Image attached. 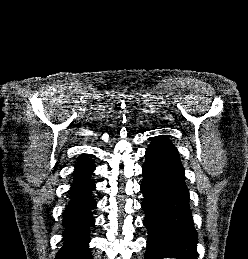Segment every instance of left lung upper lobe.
I'll return each instance as SVG.
<instances>
[{
    "label": "left lung upper lobe",
    "instance_id": "left-lung-upper-lobe-1",
    "mask_svg": "<svg viewBox=\"0 0 248 259\" xmlns=\"http://www.w3.org/2000/svg\"><path fill=\"white\" fill-rule=\"evenodd\" d=\"M155 140L162 141L164 143H167V144L173 146V144L167 138H165L164 136L157 137Z\"/></svg>",
    "mask_w": 248,
    "mask_h": 259
}]
</instances>
